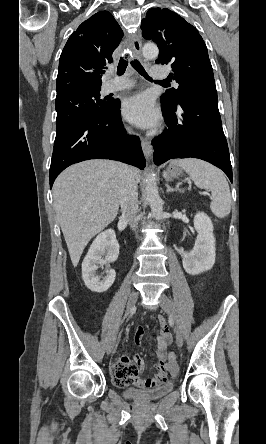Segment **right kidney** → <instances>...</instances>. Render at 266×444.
I'll list each match as a JSON object with an SVG mask.
<instances>
[{
	"label": "right kidney",
	"mask_w": 266,
	"mask_h": 444,
	"mask_svg": "<svg viewBox=\"0 0 266 444\" xmlns=\"http://www.w3.org/2000/svg\"><path fill=\"white\" fill-rule=\"evenodd\" d=\"M118 255L119 244L114 230L108 229L95 238L82 263V277L85 285L91 291L103 293L112 286L116 277V272L113 269L107 270L106 276L102 280L96 272L99 264L113 262L118 258Z\"/></svg>",
	"instance_id": "1"
}]
</instances>
